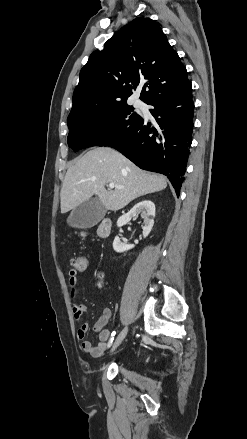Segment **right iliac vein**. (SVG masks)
Wrapping results in <instances>:
<instances>
[{"label":"right iliac vein","instance_id":"63e3f726","mask_svg":"<svg viewBox=\"0 0 247 439\" xmlns=\"http://www.w3.org/2000/svg\"><path fill=\"white\" fill-rule=\"evenodd\" d=\"M127 333H128V327L126 326V327H124V329L120 332V334L116 338V340L111 348V353L117 349V347L121 344V342L126 337Z\"/></svg>","mask_w":247,"mask_h":439}]
</instances>
